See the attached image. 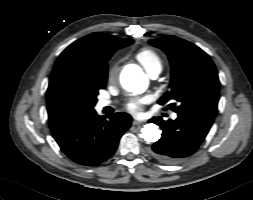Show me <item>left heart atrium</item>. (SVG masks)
<instances>
[{"instance_id":"left-heart-atrium-1","label":"left heart atrium","mask_w":253,"mask_h":200,"mask_svg":"<svg viewBox=\"0 0 253 200\" xmlns=\"http://www.w3.org/2000/svg\"><path fill=\"white\" fill-rule=\"evenodd\" d=\"M146 101H147V98L145 97L133 99L126 104V109L131 114L138 115L140 114L142 110V106L144 103H146Z\"/></svg>"}]
</instances>
